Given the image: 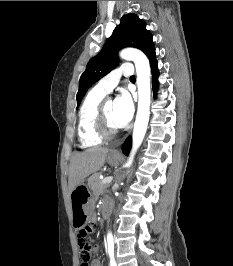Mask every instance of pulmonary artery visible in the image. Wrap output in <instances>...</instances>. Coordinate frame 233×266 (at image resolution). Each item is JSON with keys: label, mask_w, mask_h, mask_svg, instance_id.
I'll return each mask as SVG.
<instances>
[{"label": "pulmonary artery", "mask_w": 233, "mask_h": 266, "mask_svg": "<svg viewBox=\"0 0 233 266\" xmlns=\"http://www.w3.org/2000/svg\"><path fill=\"white\" fill-rule=\"evenodd\" d=\"M133 74V66L131 64H124L117 69L111 71L98 81L95 88L99 91L107 94L109 93L119 82L122 76L131 77Z\"/></svg>", "instance_id": "obj_1"}]
</instances>
